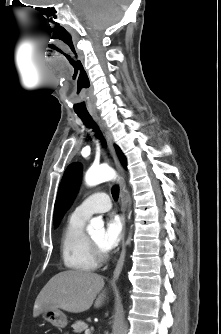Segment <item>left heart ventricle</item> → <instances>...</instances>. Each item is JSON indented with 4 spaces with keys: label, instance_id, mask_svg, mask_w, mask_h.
<instances>
[{
    "label": "left heart ventricle",
    "instance_id": "obj_1",
    "mask_svg": "<svg viewBox=\"0 0 221 334\" xmlns=\"http://www.w3.org/2000/svg\"><path fill=\"white\" fill-rule=\"evenodd\" d=\"M91 238L95 241L96 244H98L100 247L102 244V238H103V233L102 232H97L93 235H91Z\"/></svg>",
    "mask_w": 221,
    "mask_h": 334
}]
</instances>
